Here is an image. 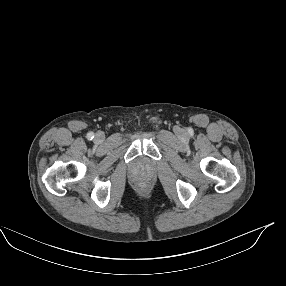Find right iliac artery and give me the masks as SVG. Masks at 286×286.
Masks as SVG:
<instances>
[{"instance_id": "right-iliac-artery-1", "label": "right iliac artery", "mask_w": 286, "mask_h": 286, "mask_svg": "<svg viewBox=\"0 0 286 286\" xmlns=\"http://www.w3.org/2000/svg\"><path fill=\"white\" fill-rule=\"evenodd\" d=\"M87 137L88 139L92 140L94 138V133L93 132L88 133Z\"/></svg>"}]
</instances>
